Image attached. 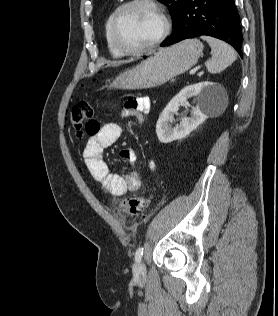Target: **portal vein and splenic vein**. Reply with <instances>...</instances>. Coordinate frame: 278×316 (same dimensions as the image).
I'll return each instance as SVG.
<instances>
[{"instance_id":"portal-vein-and-splenic-vein-1","label":"portal vein and splenic vein","mask_w":278,"mask_h":316,"mask_svg":"<svg viewBox=\"0 0 278 316\" xmlns=\"http://www.w3.org/2000/svg\"><path fill=\"white\" fill-rule=\"evenodd\" d=\"M195 72H196V69H195V68H193V69H191V70L189 71V74H190V75H194V74H195Z\"/></svg>"}]
</instances>
